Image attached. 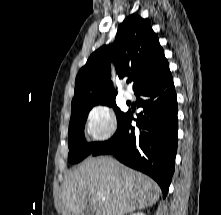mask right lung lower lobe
Here are the masks:
<instances>
[{
  "label": "right lung lower lobe",
  "mask_w": 221,
  "mask_h": 215,
  "mask_svg": "<svg viewBox=\"0 0 221 215\" xmlns=\"http://www.w3.org/2000/svg\"><path fill=\"white\" fill-rule=\"evenodd\" d=\"M143 112L131 126L132 114L125 113L116 133L90 155L114 154L125 165L152 177L165 198L174 173L177 152V99L170 71L135 91Z\"/></svg>",
  "instance_id": "right-lung-lower-lobe-1"
}]
</instances>
